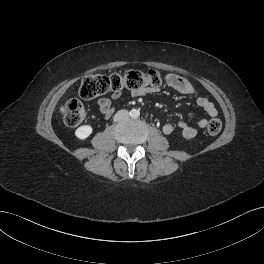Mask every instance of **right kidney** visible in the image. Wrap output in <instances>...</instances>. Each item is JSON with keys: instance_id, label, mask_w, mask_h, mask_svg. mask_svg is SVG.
<instances>
[{"instance_id": "1", "label": "right kidney", "mask_w": 264, "mask_h": 264, "mask_svg": "<svg viewBox=\"0 0 264 264\" xmlns=\"http://www.w3.org/2000/svg\"><path fill=\"white\" fill-rule=\"evenodd\" d=\"M93 128L90 125H83L76 129L75 135L78 139L84 140L90 136Z\"/></svg>"}]
</instances>
